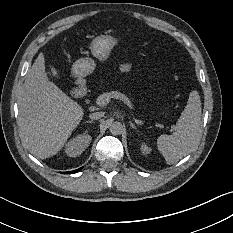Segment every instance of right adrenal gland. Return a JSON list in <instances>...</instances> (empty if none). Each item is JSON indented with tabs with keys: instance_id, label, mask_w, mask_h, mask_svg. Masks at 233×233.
I'll return each mask as SVG.
<instances>
[{
	"instance_id": "1",
	"label": "right adrenal gland",
	"mask_w": 233,
	"mask_h": 233,
	"mask_svg": "<svg viewBox=\"0 0 233 233\" xmlns=\"http://www.w3.org/2000/svg\"><path fill=\"white\" fill-rule=\"evenodd\" d=\"M85 123H93V121L87 120Z\"/></svg>"
}]
</instances>
